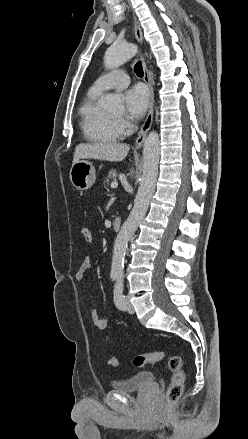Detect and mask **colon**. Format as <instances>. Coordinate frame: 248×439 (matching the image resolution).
<instances>
[{"instance_id": "1", "label": "colon", "mask_w": 248, "mask_h": 439, "mask_svg": "<svg viewBox=\"0 0 248 439\" xmlns=\"http://www.w3.org/2000/svg\"><path fill=\"white\" fill-rule=\"evenodd\" d=\"M82 235L86 242H92L93 236L89 228H83ZM163 360L167 361L168 367L172 372L170 384L166 392V399L168 403L172 404L179 400L184 388L185 373L182 359L177 355H167L163 351H156L149 354L136 355L133 358V365L136 367H144ZM108 364L112 367H117L120 362L118 358L111 357L108 360Z\"/></svg>"}]
</instances>
